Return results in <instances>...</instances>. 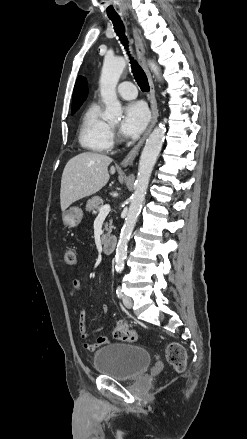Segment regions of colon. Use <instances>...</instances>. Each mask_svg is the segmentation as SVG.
Here are the masks:
<instances>
[{
	"label": "colon",
	"instance_id": "1",
	"mask_svg": "<svg viewBox=\"0 0 247 439\" xmlns=\"http://www.w3.org/2000/svg\"><path fill=\"white\" fill-rule=\"evenodd\" d=\"M64 261L68 266H75L77 264V255L75 251L72 249L66 250ZM113 335L118 340L129 342L136 341L138 338L137 333L124 321L117 322L113 330ZM166 359L174 370L177 372L184 371L187 362L185 348L177 342L169 343L166 348Z\"/></svg>",
	"mask_w": 247,
	"mask_h": 439
}]
</instances>
